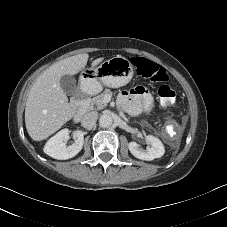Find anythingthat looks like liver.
I'll return each instance as SVG.
<instances>
[{"instance_id": "1", "label": "liver", "mask_w": 227, "mask_h": 227, "mask_svg": "<svg viewBox=\"0 0 227 227\" xmlns=\"http://www.w3.org/2000/svg\"><path fill=\"white\" fill-rule=\"evenodd\" d=\"M88 58L87 53L68 57L51 65L36 79L25 108V125L33 140L47 139L76 114L77 107L68 102L60 79L63 75H75L82 71ZM103 60V57L95 59L92 67Z\"/></svg>"}]
</instances>
